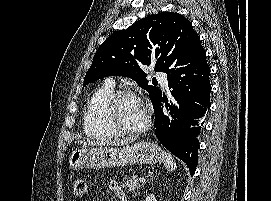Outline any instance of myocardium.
I'll return each mask as SVG.
<instances>
[{
  "label": "myocardium",
  "mask_w": 271,
  "mask_h": 201,
  "mask_svg": "<svg viewBox=\"0 0 271 201\" xmlns=\"http://www.w3.org/2000/svg\"><path fill=\"white\" fill-rule=\"evenodd\" d=\"M124 98H134L143 103L141 98L134 92L130 90H120L117 92H114L111 97L108 99L106 106H105V114L106 117L113 127V129L116 131L118 135H125V136H137L140 134H143L146 132L150 126H151V115L147 108H145L146 111V119L144 124L137 128V129H129L124 127L118 120L116 115V108L120 100Z\"/></svg>",
  "instance_id": "obj_1"
}]
</instances>
